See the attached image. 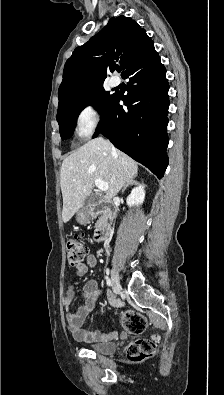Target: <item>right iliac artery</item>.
<instances>
[{"label":"right iliac artery","mask_w":224,"mask_h":395,"mask_svg":"<svg viewBox=\"0 0 224 395\" xmlns=\"http://www.w3.org/2000/svg\"><path fill=\"white\" fill-rule=\"evenodd\" d=\"M106 283H107V285H108L109 287H112V282H111V280L109 279V277H107V276H106Z\"/></svg>","instance_id":"1"}]
</instances>
